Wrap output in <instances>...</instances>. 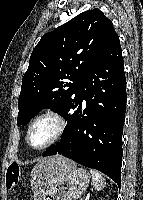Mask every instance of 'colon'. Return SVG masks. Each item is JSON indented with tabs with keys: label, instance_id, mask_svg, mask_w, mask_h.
I'll return each instance as SVG.
<instances>
[{
	"label": "colon",
	"instance_id": "colon-1",
	"mask_svg": "<svg viewBox=\"0 0 143 200\" xmlns=\"http://www.w3.org/2000/svg\"><path fill=\"white\" fill-rule=\"evenodd\" d=\"M20 168L18 164L12 163L7 168L6 173V187L9 191H14L19 183Z\"/></svg>",
	"mask_w": 143,
	"mask_h": 200
}]
</instances>
